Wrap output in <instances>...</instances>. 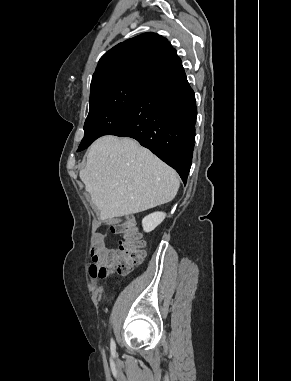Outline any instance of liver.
<instances>
[{"label":"liver","instance_id":"obj_1","mask_svg":"<svg viewBox=\"0 0 291 381\" xmlns=\"http://www.w3.org/2000/svg\"><path fill=\"white\" fill-rule=\"evenodd\" d=\"M80 179L102 220L139 213L172 201L180 181L175 170L131 138L112 135L90 147Z\"/></svg>","mask_w":291,"mask_h":381}]
</instances>
